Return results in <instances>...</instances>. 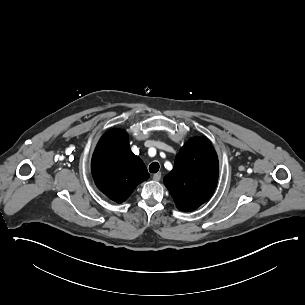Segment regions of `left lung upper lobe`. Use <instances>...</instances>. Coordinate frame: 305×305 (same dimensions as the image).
Instances as JSON below:
<instances>
[{
    "mask_svg": "<svg viewBox=\"0 0 305 305\" xmlns=\"http://www.w3.org/2000/svg\"><path fill=\"white\" fill-rule=\"evenodd\" d=\"M219 175L217 154L206 138H191L175 158L164 184L181 211L197 209L213 194Z\"/></svg>",
    "mask_w": 305,
    "mask_h": 305,
    "instance_id": "5c2ea615",
    "label": "left lung upper lobe"
}]
</instances>
